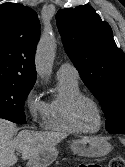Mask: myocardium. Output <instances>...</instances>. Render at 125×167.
Instances as JSON below:
<instances>
[{"label": "myocardium", "mask_w": 125, "mask_h": 167, "mask_svg": "<svg viewBox=\"0 0 125 167\" xmlns=\"http://www.w3.org/2000/svg\"><path fill=\"white\" fill-rule=\"evenodd\" d=\"M86 101L90 102L91 104H93L94 107L96 108L97 112H98L99 125L94 130H89V129L84 128L81 125V123L79 122V119H78L79 108H80L81 104L83 102H86ZM69 114H70V119H71L72 123L78 129L79 132L96 133V132H98L101 129V127L103 125V112H102L100 104L93 97L85 95V94H80V95L76 96L71 101L70 106H69Z\"/></svg>", "instance_id": "f54148a6"}]
</instances>
